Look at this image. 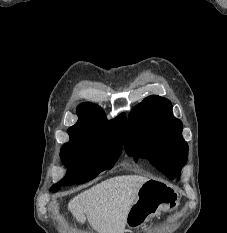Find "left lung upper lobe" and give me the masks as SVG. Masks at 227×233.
I'll use <instances>...</instances> for the list:
<instances>
[{
	"instance_id": "5c2ea615",
	"label": "left lung upper lobe",
	"mask_w": 227,
	"mask_h": 233,
	"mask_svg": "<svg viewBox=\"0 0 227 233\" xmlns=\"http://www.w3.org/2000/svg\"><path fill=\"white\" fill-rule=\"evenodd\" d=\"M126 153L148 159L169 179L180 177L188 158L182 122L172 114L171 102L157 95L145 98L129 114Z\"/></svg>"
}]
</instances>
